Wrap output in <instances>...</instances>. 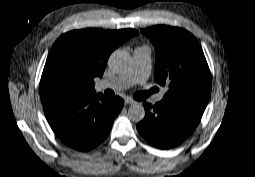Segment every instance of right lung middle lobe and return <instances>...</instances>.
<instances>
[{"mask_svg":"<svg viewBox=\"0 0 255 177\" xmlns=\"http://www.w3.org/2000/svg\"><path fill=\"white\" fill-rule=\"evenodd\" d=\"M80 78L67 70H57L40 85L42 102H51L80 96Z\"/></svg>","mask_w":255,"mask_h":177,"instance_id":"right-lung-middle-lobe-1","label":"right lung middle lobe"}]
</instances>
